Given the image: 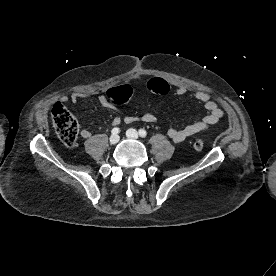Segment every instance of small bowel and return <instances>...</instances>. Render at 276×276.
Wrapping results in <instances>:
<instances>
[{
    "label": "small bowel",
    "instance_id": "c3829d8e",
    "mask_svg": "<svg viewBox=\"0 0 276 276\" xmlns=\"http://www.w3.org/2000/svg\"><path fill=\"white\" fill-rule=\"evenodd\" d=\"M126 88L132 92V88L130 86H127ZM148 88L152 92H156L152 90L149 85ZM168 90L169 87L160 92V94H165L168 92ZM175 92L177 95H184L186 94L187 89L186 87L180 85L175 88ZM93 96L94 93L90 91H76L73 92L69 97L62 96L61 101L67 102L70 100L73 103H77L81 99L91 98ZM192 97L195 101L203 105L208 114L202 119H199L182 129L170 128L167 131V134L169 138L175 143H181L195 134L210 128L211 126L217 124L223 117V111L208 93L203 91H196L192 94ZM98 101L103 107L119 112L118 108L112 102H110L106 96H99ZM158 120V117L152 113H143L141 115H130L125 117L119 114L113 118L112 125L117 126L123 121L126 123H133L137 121H142L145 123H156ZM81 136L85 139L89 138L91 136L90 130L83 129L81 131Z\"/></svg>",
    "mask_w": 276,
    "mask_h": 276
}]
</instances>
